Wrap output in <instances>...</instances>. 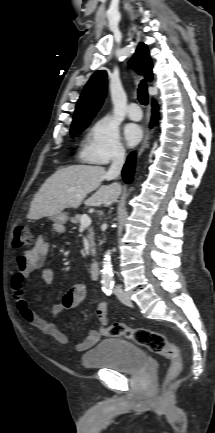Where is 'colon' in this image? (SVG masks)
<instances>
[{
	"mask_svg": "<svg viewBox=\"0 0 215 433\" xmlns=\"http://www.w3.org/2000/svg\"><path fill=\"white\" fill-rule=\"evenodd\" d=\"M32 242L33 237L30 229L24 224H16L13 230L12 247L21 249ZM100 333L106 337H125L155 354L162 355L168 361L167 381L176 377L181 370L179 347L168 342L160 332L146 328H131L122 323H113L103 325Z\"/></svg>",
	"mask_w": 215,
	"mask_h": 433,
	"instance_id": "obj_1",
	"label": "colon"
}]
</instances>
